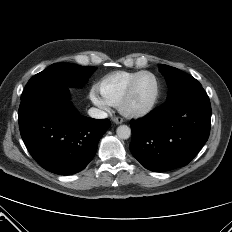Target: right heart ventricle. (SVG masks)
I'll return each mask as SVG.
<instances>
[{
	"label": "right heart ventricle",
	"mask_w": 232,
	"mask_h": 232,
	"mask_svg": "<svg viewBox=\"0 0 232 232\" xmlns=\"http://www.w3.org/2000/svg\"><path fill=\"white\" fill-rule=\"evenodd\" d=\"M141 71H115L102 77L97 88L103 100L111 106H118L132 79Z\"/></svg>",
	"instance_id": "1"
}]
</instances>
